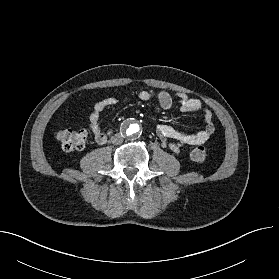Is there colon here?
Returning <instances> with one entry per match:
<instances>
[{
	"instance_id": "1",
	"label": "colon",
	"mask_w": 279,
	"mask_h": 279,
	"mask_svg": "<svg viewBox=\"0 0 279 279\" xmlns=\"http://www.w3.org/2000/svg\"><path fill=\"white\" fill-rule=\"evenodd\" d=\"M56 139L65 151L83 149L88 140V132L84 129L71 130L60 128L56 132ZM207 149L204 146H198L191 152L192 160L202 162L207 157Z\"/></svg>"
}]
</instances>
